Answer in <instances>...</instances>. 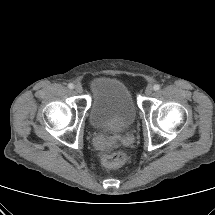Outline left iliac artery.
<instances>
[{
  "label": "left iliac artery",
  "mask_w": 215,
  "mask_h": 215,
  "mask_svg": "<svg viewBox=\"0 0 215 215\" xmlns=\"http://www.w3.org/2000/svg\"><path fill=\"white\" fill-rule=\"evenodd\" d=\"M153 89H154L155 91H158V90L160 89V85L155 84V85L153 86Z\"/></svg>",
  "instance_id": "1"
}]
</instances>
